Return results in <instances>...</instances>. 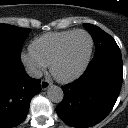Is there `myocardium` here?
I'll use <instances>...</instances> for the list:
<instances>
[{
  "label": "myocardium",
  "instance_id": "f54148a6",
  "mask_svg": "<svg viewBox=\"0 0 128 128\" xmlns=\"http://www.w3.org/2000/svg\"><path fill=\"white\" fill-rule=\"evenodd\" d=\"M85 34L88 38H89V42H90V46H89V51H88V54H87V57L85 59V61L83 62L82 66L72 75L68 76V77H59L56 75L55 73V68L57 66V64L60 62V60L62 59L63 57V54H64V51H65V48L68 44V42L70 41V39L75 36L76 34ZM93 49H94V40H93V37L92 35L86 31V30H83V29H77V30H74L67 38H65V40L61 43L57 53L55 54L53 60L51 61L50 63V72L52 74V76L60 83H63V84H68V83H71L75 80H77L78 78H80L84 72L86 71V69L88 68L89 66V63L91 61V58H92V54H93Z\"/></svg>",
  "mask_w": 128,
  "mask_h": 128
}]
</instances>
